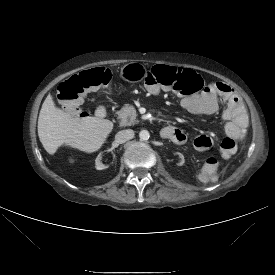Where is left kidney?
<instances>
[{"instance_id":"obj_1","label":"left kidney","mask_w":275,"mask_h":275,"mask_svg":"<svg viewBox=\"0 0 275 275\" xmlns=\"http://www.w3.org/2000/svg\"><path fill=\"white\" fill-rule=\"evenodd\" d=\"M177 155L179 156V158H180V161H179V166H182L184 163H185V159H184V156H183V154H181V153H177Z\"/></svg>"}]
</instances>
